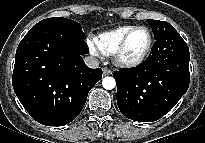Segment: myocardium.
<instances>
[{
	"label": "myocardium",
	"mask_w": 205,
	"mask_h": 143,
	"mask_svg": "<svg viewBox=\"0 0 205 143\" xmlns=\"http://www.w3.org/2000/svg\"><path fill=\"white\" fill-rule=\"evenodd\" d=\"M139 29H144L148 34L149 40H148L147 47L139 58L135 60H125L123 58V53L125 51L127 42L130 36L133 34V32ZM152 46H153V34L151 30L147 26H144V25L134 26L123 36L119 45L117 46L114 53L112 54L113 62L115 63V65L121 68L130 69V68L138 67L148 58L152 50Z\"/></svg>",
	"instance_id": "obj_1"
}]
</instances>
